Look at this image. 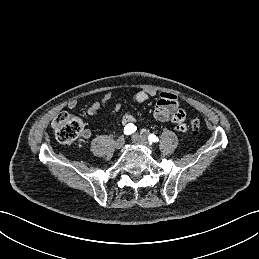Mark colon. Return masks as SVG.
Listing matches in <instances>:
<instances>
[{
	"label": "colon",
	"mask_w": 259,
	"mask_h": 259,
	"mask_svg": "<svg viewBox=\"0 0 259 259\" xmlns=\"http://www.w3.org/2000/svg\"><path fill=\"white\" fill-rule=\"evenodd\" d=\"M82 122L76 116L62 113L56 117L53 122V130L57 140L63 144L73 143L82 131ZM201 128V122L198 118L192 119L190 129L197 133Z\"/></svg>",
	"instance_id": "5ec220e1"
}]
</instances>
